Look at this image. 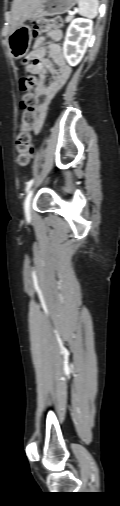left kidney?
<instances>
[{
	"mask_svg": "<svg viewBox=\"0 0 120 506\" xmlns=\"http://www.w3.org/2000/svg\"><path fill=\"white\" fill-rule=\"evenodd\" d=\"M92 26V21L84 18L70 23L63 44L64 57L70 66H76L83 58L92 39Z\"/></svg>",
	"mask_w": 120,
	"mask_h": 506,
	"instance_id": "left-kidney-1",
	"label": "left kidney"
}]
</instances>
